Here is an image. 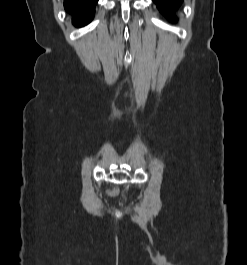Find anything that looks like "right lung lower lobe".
Returning <instances> with one entry per match:
<instances>
[{
  "label": "right lung lower lobe",
  "mask_w": 247,
  "mask_h": 265,
  "mask_svg": "<svg viewBox=\"0 0 247 265\" xmlns=\"http://www.w3.org/2000/svg\"><path fill=\"white\" fill-rule=\"evenodd\" d=\"M98 0H65L64 7L73 15V24L77 27L88 24L94 17V8Z\"/></svg>",
  "instance_id": "98d812e1"
}]
</instances>
